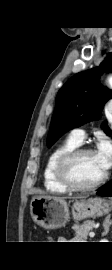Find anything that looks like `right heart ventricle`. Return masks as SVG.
<instances>
[{
    "instance_id": "e07e8e85",
    "label": "right heart ventricle",
    "mask_w": 112,
    "mask_h": 270,
    "mask_svg": "<svg viewBox=\"0 0 112 270\" xmlns=\"http://www.w3.org/2000/svg\"><path fill=\"white\" fill-rule=\"evenodd\" d=\"M79 145V143L69 137L51 151L43 169V183L47 191L54 194H65L68 192V190L62 186L57 179L56 164L58 159L64 153L77 148Z\"/></svg>"
}]
</instances>
